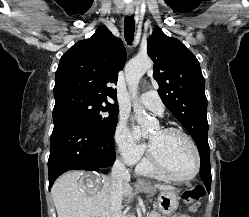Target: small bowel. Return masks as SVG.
Wrapping results in <instances>:
<instances>
[{"instance_id":"1","label":"small bowel","mask_w":249,"mask_h":217,"mask_svg":"<svg viewBox=\"0 0 249 217\" xmlns=\"http://www.w3.org/2000/svg\"><path fill=\"white\" fill-rule=\"evenodd\" d=\"M179 217H188V216L182 215V216H179Z\"/></svg>"}]
</instances>
